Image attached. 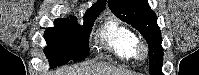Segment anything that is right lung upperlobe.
Here are the masks:
<instances>
[{
	"instance_id": "obj_1",
	"label": "right lung upper lobe",
	"mask_w": 199,
	"mask_h": 75,
	"mask_svg": "<svg viewBox=\"0 0 199 75\" xmlns=\"http://www.w3.org/2000/svg\"><path fill=\"white\" fill-rule=\"evenodd\" d=\"M106 5V0H98L89 10H87L85 17L94 16L100 13Z\"/></svg>"
}]
</instances>
